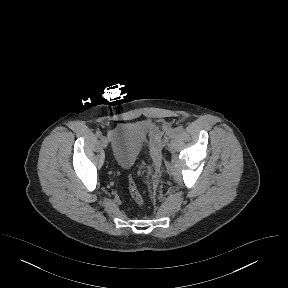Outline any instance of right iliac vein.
Segmentation results:
<instances>
[{
	"instance_id": "1",
	"label": "right iliac vein",
	"mask_w": 288,
	"mask_h": 288,
	"mask_svg": "<svg viewBox=\"0 0 288 288\" xmlns=\"http://www.w3.org/2000/svg\"><path fill=\"white\" fill-rule=\"evenodd\" d=\"M101 145L104 147V148H106L107 147V145H108V141H107V139H106V137H101Z\"/></svg>"
}]
</instances>
